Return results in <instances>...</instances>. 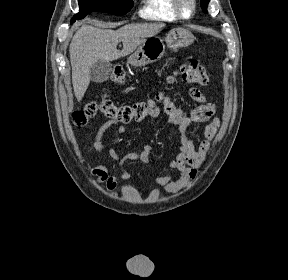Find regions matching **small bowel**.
<instances>
[{
	"label": "small bowel",
	"mask_w": 288,
	"mask_h": 280,
	"mask_svg": "<svg viewBox=\"0 0 288 280\" xmlns=\"http://www.w3.org/2000/svg\"><path fill=\"white\" fill-rule=\"evenodd\" d=\"M190 96L194 101L200 103L199 106L191 111H183L173 103L168 95H162V106L152 108L148 114L149 117L156 118L163 113L167 122L175 126L181 133L176 156L173 160L164 164L168 169L177 170L179 176H158L154 179L157 185L169 193L178 192L190 186L191 181L196 178L200 167L207 157L210 143L220 125L219 119L215 117V106L206 100L199 89L191 88ZM208 121L210 123L205 128V139L196 147L194 140L187 133L188 129L192 124ZM114 123L115 121L103 123L93 137L92 144L98 153L107 155L108 158L118 164L122 179L129 180L131 177L124 170V164L131 160L147 162L151 157V147L147 145L140 151H127L122 156L118 154L113 146L106 150L103 143L104 136ZM125 132L126 127L124 125L118 127L117 133L119 135ZM91 172L97 177V183L103 185L107 190L114 191L118 188L120 184L119 178L110 175L106 166L98 164L92 168Z\"/></svg>",
	"instance_id": "obj_1"
}]
</instances>
